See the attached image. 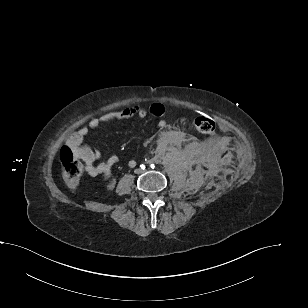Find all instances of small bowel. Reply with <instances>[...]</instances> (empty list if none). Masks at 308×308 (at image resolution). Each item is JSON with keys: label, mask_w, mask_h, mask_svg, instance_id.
<instances>
[{"label": "small bowel", "mask_w": 308, "mask_h": 308, "mask_svg": "<svg viewBox=\"0 0 308 308\" xmlns=\"http://www.w3.org/2000/svg\"><path fill=\"white\" fill-rule=\"evenodd\" d=\"M148 114L160 118L165 114V108L161 104H152L148 109L140 106H130L116 111L107 112L99 117L93 118L89 123L67 139V146L70 147L77 159H79L90 176H102L108 181V186L112 187L115 183L112 177V169L118 162L116 155L108 156L100 164H95V161L101 157V152L97 149H92L84 144L85 138L91 129H95L100 125L109 124L115 120L137 117L145 118ZM161 129L158 139V147L164 149L168 145H180L185 140V134L179 130H164L166 122L160 120L158 123ZM136 165L134 160L129 162L130 167Z\"/></svg>", "instance_id": "obj_1"}]
</instances>
